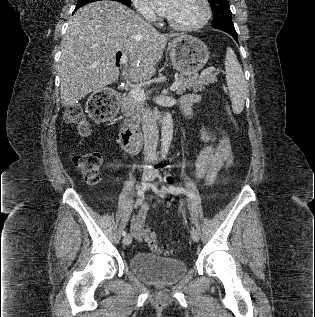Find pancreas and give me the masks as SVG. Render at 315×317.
I'll use <instances>...</instances> for the list:
<instances>
[{
	"label": "pancreas",
	"instance_id": "pancreas-1",
	"mask_svg": "<svg viewBox=\"0 0 315 317\" xmlns=\"http://www.w3.org/2000/svg\"><path fill=\"white\" fill-rule=\"evenodd\" d=\"M180 85L176 91L177 94L182 95L187 89L193 91H202L210 83L217 81L216 75L210 71H205L201 75L181 76L179 79ZM126 102L129 106L125 111V116L128 118L127 122H139L140 114L143 110L145 99L137 100L133 97L131 91L127 95Z\"/></svg>",
	"mask_w": 315,
	"mask_h": 317
}]
</instances>
